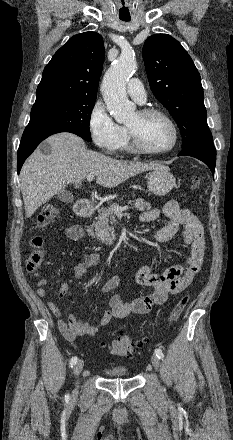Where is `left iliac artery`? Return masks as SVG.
Wrapping results in <instances>:
<instances>
[{
	"instance_id": "44dca946",
	"label": "left iliac artery",
	"mask_w": 233,
	"mask_h": 440,
	"mask_svg": "<svg viewBox=\"0 0 233 440\" xmlns=\"http://www.w3.org/2000/svg\"><path fill=\"white\" fill-rule=\"evenodd\" d=\"M155 354H156V356H157L159 359L163 360V358H164V354H163L162 350H160V349H155Z\"/></svg>"
}]
</instances>
